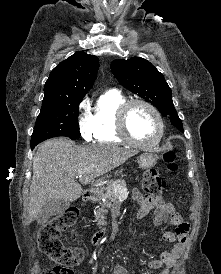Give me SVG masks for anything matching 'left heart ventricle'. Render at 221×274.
I'll use <instances>...</instances> for the list:
<instances>
[{"label": "left heart ventricle", "instance_id": "1", "mask_svg": "<svg viewBox=\"0 0 221 274\" xmlns=\"http://www.w3.org/2000/svg\"><path fill=\"white\" fill-rule=\"evenodd\" d=\"M128 129L134 139L151 143L158 134V123L154 114L143 105H134L128 114Z\"/></svg>", "mask_w": 221, "mask_h": 274}]
</instances>
